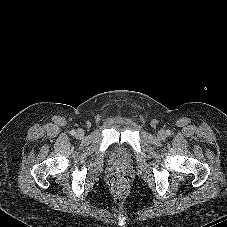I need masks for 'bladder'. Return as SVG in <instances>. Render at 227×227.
<instances>
[{"label":"bladder","mask_w":227,"mask_h":227,"mask_svg":"<svg viewBox=\"0 0 227 227\" xmlns=\"http://www.w3.org/2000/svg\"><path fill=\"white\" fill-rule=\"evenodd\" d=\"M114 157L119 161H124L128 158V151L124 146H116L114 149Z\"/></svg>","instance_id":"31cf9c89"}]
</instances>
